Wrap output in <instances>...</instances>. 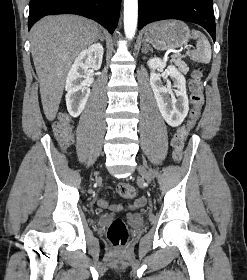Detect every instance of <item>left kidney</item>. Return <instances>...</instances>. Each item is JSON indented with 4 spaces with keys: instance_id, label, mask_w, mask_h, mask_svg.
<instances>
[{
    "instance_id": "5707ae66",
    "label": "left kidney",
    "mask_w": 247,
    "mask_h": 280,
    "mask_svg": "<svg viewBox=\"0 0 247 280\" xmlns=\"http://www.w3.org/2000/svg\"><path fill=\"white\" fill-rule=\"evenodd\" d=\"M148 66L152 70L150 84L159 111L168 125L177 127L183 122L189 111L185 77L175 66L170 65L167 67V75L173 80V85L167 81V85L164 86L160 74L156 73L155 70H163L166 67V62L154 57L148 60Z\"/></svg>"
}]
</instances>
